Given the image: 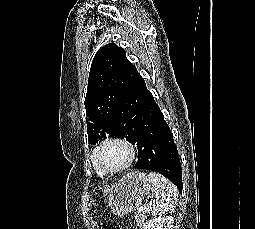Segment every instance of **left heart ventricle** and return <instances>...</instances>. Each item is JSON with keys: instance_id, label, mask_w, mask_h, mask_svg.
Segmentation results:
<instances>
[{"instance_id": "b2bd125f", "label": "left heart ventricle", "mask_w": 255, "mask_h": 229, "mask_svg": "<svg viewBox=\"0 0 255 229\" xmlns=\"http://www.w3.org/2000/svg\"><path fill=\"white\" fill-rule=\"evenodd\" d=\"M99 159L107 167H119L128 159V151L119 144H108L101 150Z\"/></svg>"}]
</instances>
